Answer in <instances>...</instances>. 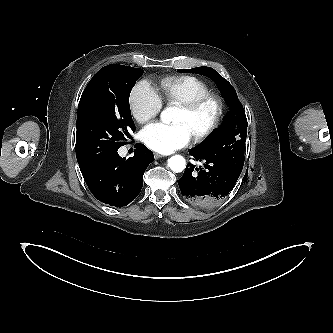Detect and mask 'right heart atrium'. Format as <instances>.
Instances as JSON below:
<instances>
[{"mask_svg": "<svg viewBox=\"0 0 333 333\" xmlns=\"http://www.w3.org/2000/svg\"><path fill=\"white\" fill-rule=\"evenodd\" d=\"M162 104L159 94L147 81L137 83L129 98L131 114L139 123L156 117L162 109Z\"/></svg>", "mask_w": 333, "mask_h": 333, "instance_id": "right-heart-atrium-1", "label": "right heart atrium"}]
</instances>
